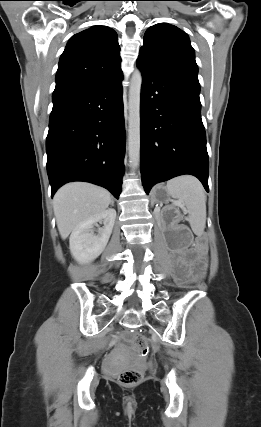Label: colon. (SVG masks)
<instances>
[{
    "instance_id": "obj_1",
    "label": "colon",
    "mask_w": 261,
    "mask_h": 427,
    "mask_svg": "<svg viewBox=\"0 0 261 427\" xmlns=\"http://www.w3.org/2000/svg\"><path fill=\"white\" fill-rule=\"evenodd\" d=\"M132 346L140 357H146L149 353V344L146 337L136 335L132 338ZM143 371L140 369H128L121 372L118 381L126 387L136 386L143 380Z\"/></svg>"
}]
</instances>
